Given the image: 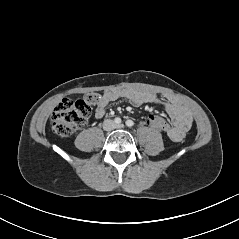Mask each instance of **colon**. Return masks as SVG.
I'll return each instance as SVG.
<instances>
[{
	"mask_svg": "<svg viewBox=\"0 0 239 239\" xmlns=\"http://www.w3.org/2000/svg\"><path fill=\"white\" fill-rule=\"evenodd\" d=\"M99 99L100 95L97 93H89L80 99H63L52 113L53 132L59 136H69L75 129L85 125L90 117L92 106L97 104ZM145 120L150 128L160 133L166 132L170 126L162 114L154 111L147 112Z\"/></svg>",
	"mask_w": 239,
	"mask_h": 239,
	"instance_id": "5ec220e1",
	"label": "colon"
}]
</instances>
